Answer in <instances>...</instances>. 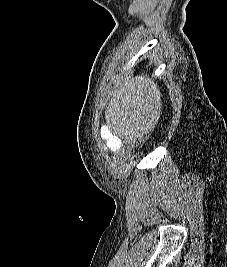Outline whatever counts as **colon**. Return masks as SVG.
Returning a JSON list of instances; mask_svg holds the SVG:
<instances>
[{
  "instance_id": "colon-1",
  "label": "colon",
  "mask_w": 227,
  "mask_h": 267,
  "mask_svg": "<svg viewBox=\"0 0 227 267\" xmlns=\"http://www.w3.org/2000/svg\"><path fill=\"white\" fill-rule=\"evenodd\" d=\"M147 139H140L137 142V147H146ZM133 154L138 155L142 154V148L139 149H133Z\"/></svg>"
}]
</instances>
